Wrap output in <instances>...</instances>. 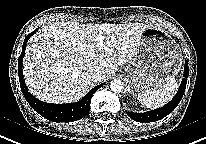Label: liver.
Returning <instances> with one entry per match:
<instances>
[{"label": "liver", "mask_w": 206, "mask_h": 144, "mask_svg": "<svg viewBox=\"0 0 206 144\" xmlns=\"http://www.w3.org/2000/svg\"><path fill=\"white\" fill-rule=\"evenodd\" d=\"M143 23L79 24L59 22L42 27L29 41L23 61L28 90L49 103L80 100L93 82L89 68L99 69L106 79L135 55ZM102 35L104 45L95 37Z\"/></svg>", "instance_id": "obj_1"}]
</instances>
